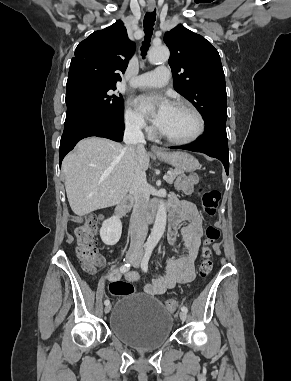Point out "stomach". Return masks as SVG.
<instances>
[{
  "label": "stomach",
  "mask_w": 291,
  "mask_h": 381,
  "mask_svg": "<svg viewBox=\"0 0 291 381\" xmlns=\"http://www.w3.org/2000/svg\"><path fill=\"white\" fill-rule=\"evenodd\" d=\"M159 160L169 163L179 171L193 172L199 167L198 160L186 152H163L157 154Z\"/></svg>",
  "instance_id": "0dacf381"
}]
</instances>
